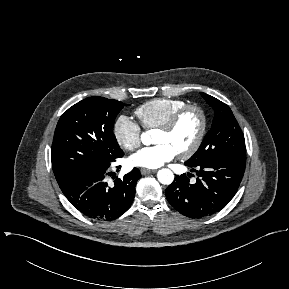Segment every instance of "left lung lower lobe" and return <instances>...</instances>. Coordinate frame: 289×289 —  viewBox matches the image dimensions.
Segmentation results:
<instances>
[{"label": "left lung lower lobe", "instance_id": "1", "mask_svg": "<svg viewBox=\"0 0 289 289\" xmlns=\"http://www.w3.org/2000/svg\"><path fill=\"white\" fill-rule=\"evenodd\" d=\"M185 165L196 172V183L191 184L185 174L176 176L166 189V198L183 215L201 218L222 210L234 197L244 174L245 158L220 157L197 166Z\"/></svg>", "mask_w": 289, "mask_h": 289}]
</instances>
